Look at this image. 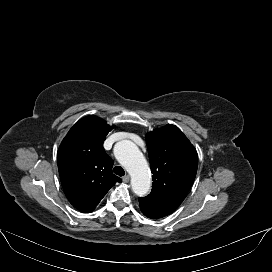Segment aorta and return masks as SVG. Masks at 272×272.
<instances>
[{
  "label": "aorta",
  "instance_id": "1",
  "mask_svg": "<svg viewBox=\"0 0 272 272\" xmlns=\"http://www.w3.org/2000/svg\"><path fill=\"white\" fill-rule=\"evenodd\" d=\"M114 154L131 175L133 192L138 196L146 195L150 189L151 176L147 161L136 144L122 140L115 145Z\"/></svg>",
  "mask_w": 272,
  "mask_h": 272
}]
</instances>
